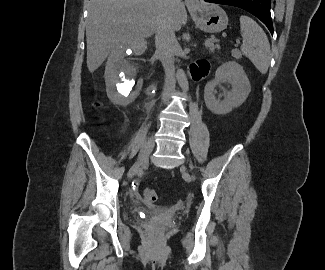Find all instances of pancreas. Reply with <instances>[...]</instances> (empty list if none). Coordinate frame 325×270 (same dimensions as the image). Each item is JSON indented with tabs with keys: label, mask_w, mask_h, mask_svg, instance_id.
Masks as SVG:
<instances>
[{
	"label": "pancreas",
	"mask_w": 325,
	"mask_h": 270,
	"mask_svg": "<svg viewBox=\"0 0 325 270\" xmlns=\"http://www.w3.org/2000/svg\"><path fill=\"white\" fill-rule=\"evenodd\" d=\"M215 48H218V46H214L213 44L210 46V50L213 51ZM232 56L235 58V59H240L241 58V53L239 50L237 49H234L232 50Z\"/></svg>",
	"instance_id": "obj_1"
}]
</instances>
